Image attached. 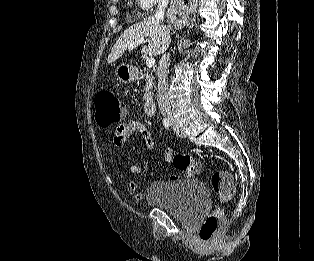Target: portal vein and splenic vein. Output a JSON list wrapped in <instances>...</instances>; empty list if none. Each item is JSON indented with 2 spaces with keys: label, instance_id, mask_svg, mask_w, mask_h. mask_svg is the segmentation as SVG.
I'll use <instances>...</instances> for the list:
<instances>
[{
  "label": "portal vein and splenic vein",
  "instance_id": "portal-vein-and-splenic-vein-1",
  "mask_svg": "<svg viewBox=\"0 0 314 261\" xmlns=\"http://www.w3.org/2000/svg\"><path fill=\"white\" fill-rule=\"evenodd\" d=\"M144 43V40H139L131 45L128 46V50H132L134 49L135 47H137L138 45L140 44H143ZM146 65L147 67L151 68V67H154L155 65V59L153 57H149L147 58L146 60Z\"/></svg>",
  "mask_w": 314,
  "mask_h": 261
}]
</instances>
